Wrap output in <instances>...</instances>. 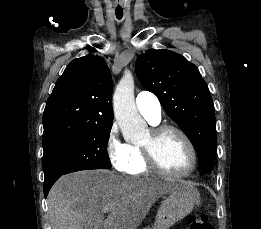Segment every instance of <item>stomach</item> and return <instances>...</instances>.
I'll use <instances>...</instances> for the list:
<instances>
[{
  "mask_svg": "<svg viewBox=\"0 0 261 229\" xmlns=\"http://www.w3.org/2000/svg\"><path fill=\"white\" fill-rule=\"evenodd\" d=\"M174 189L163 201L156 217L153 229H169L174 223H178L193 211L200 201V193L191 181L174 179L170 181Z\"/></svg>",
  "mask_w": 261,
  "mask_h": 229,
  "instance_id": "stomach-1",
  "label": "stomach"
}]
</instances>
